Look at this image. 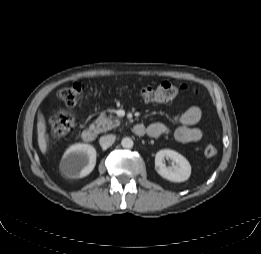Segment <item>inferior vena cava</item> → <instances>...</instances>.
Returning a JSON list of instances; mask_svg holds the SVG:
<instances>
[{
  "label": "inferior vena cava",
  "mask_w": 261,
  "mask_h": 254,
  "mask_svg": "<svg viewBox=\"0 0 261 254\" xmlns=\"http://www.w3.org/2000/svg\"><path fill=\"white\" fill-rule=\"evenodd\" d=\"M115 139H116V136L112 135V134L102 136V137H100V140H99L100 146L103 149H107L114 143Z\"/></svg>",
  "instance_id": "1"
}]
</instances>
